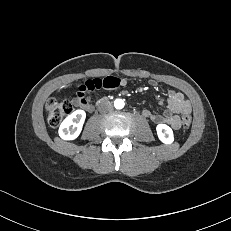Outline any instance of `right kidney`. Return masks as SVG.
Listing matches in <instances>:
<instances>
[{
  "instance_id": "ca27d5eb",
  "label": "right kidney",
  "mask_w": 231,
  "mask_h": 231,
  "mask_svg": "<svg viewBox=\"0 0 231 231\" xmlns=\"http://www.w3.org/2000/svg\"><path fill=\"white\" fill-rule=\"evenodd\" d=\"M86 113L83 110H76L67 116L59 127V136L64 140L76 139L83 127Z\"/></svg>"
}]
</instances>
